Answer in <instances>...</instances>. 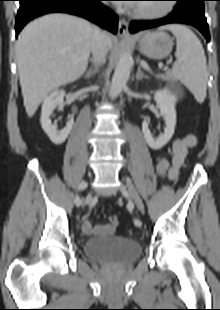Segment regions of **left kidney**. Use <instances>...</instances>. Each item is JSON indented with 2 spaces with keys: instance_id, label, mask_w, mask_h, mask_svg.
<instances>
[{
  "instance_id": "5707ae66",
  "label": "left kidney",
  "mask_w": 220,
  "mask_h": 310,
  "mask_svg": "<svg viewBox=\"0 0 220 310\" xmlns=\"http://www.w3.org/2000/svg\"><path fill=\"white\" fill-rule=\"evenodd\" d=\"M157 107L160 109V114L164 117L166 127L164 133L158 138H154L149 129V122L142 123V132L147 144L154 150L161 149L172 138L176 126V97L174 94L162 90L157 91L154 95Z\"/></svg>"
}]
</instances>
